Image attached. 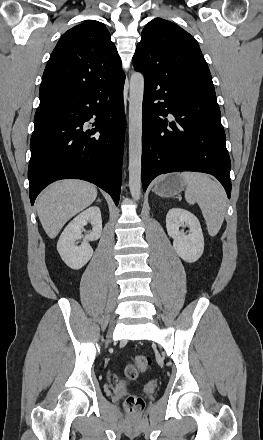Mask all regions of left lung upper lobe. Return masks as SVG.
<instances>
[{"label":"left lung upper lobe","instance_id":"left-lung-upper-lobe-1","mask_svg":"<svg viewBox=\"0 0 263 440\" xmlns=\"http://www.w3.org/2000/svg\"><path fill=\"white\" fill-rule=\"evenodd\" d=\"M133 65L143 74L172 78L189 89L216 95L197 41L167 20L155 18L147 23L133 56Z\"/></svg>","mask_w":263,"mask_h":440}]
</instances>
